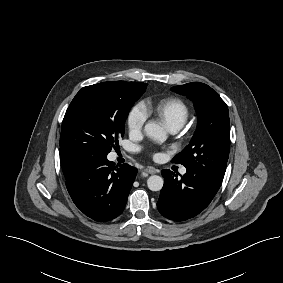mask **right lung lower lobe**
Wrapping results in <instances>:
<instances>
[{"instance_id":"1","label":"right lung lower lobe","mask_w":283,"mask_h":283,"mask_svg":"<svg viewBox=\"0 0 283 283\" xmlns=\"http://www.w3.org/2000/svg\"><path fill=\"white\" fill-rule=\"evenodd\" d=\"M137 169L115 166L106 156L81 160L67 175L66 187L75 205L85 215L99 222L119 216L127 202Z\"/></svg>"}]
</instances>
